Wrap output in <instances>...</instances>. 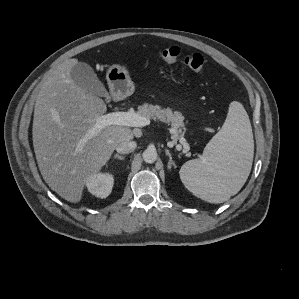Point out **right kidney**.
I'll return each instance as SVG.
<instances>
[{"mask_svg": "<svg viewBox=\"0 0 299 299\" xmlns=\"http://www.w3.org/2000/svg\"><path fill=\"white\" fill-rule=\"evenodd\" d=\"M114 183L112 174L109 173H95L89 177L86 186L91 194L96 197L106 198L111 193Z\"/></svg>", "mask_w": 299, "mask_h": 299, "instance_id": "ca27d5eb", "label": "right kidney"}]
</instances>
